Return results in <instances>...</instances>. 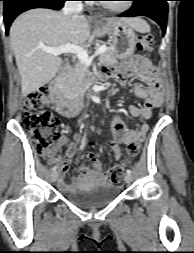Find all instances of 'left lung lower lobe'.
I'll return each mask as SVG.
<instances>
[{"instance_id": "left-lung-lower-lobe-1", "label": "left lung lower lobe", "mask_w": 194, "mask_h": 253, "mask_svg": "<svg viewBox=\"0 0 194 253\" xmlns=\"http://www.w3.org/2000/svg\"><path fill=\"white\" fill-rule=\"evenodd\" d=\"M132 7L119 16H147L155 20L162 28L163 34L166 31L167 13L169 0H131Z\"/></svg>"}]
</instances>
